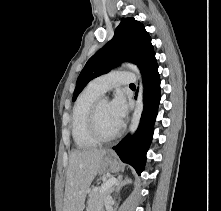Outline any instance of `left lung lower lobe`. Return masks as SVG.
Listing matches in <instances>:
<instances>
[{"instance_id": "1", "label": "left lung lower lobe", "mask_w": 221, "mask_h": 211, "mask_svg": "<svg viewBox=\"0 0 221 211\" xmlns=\"http://www.w3.org/2000/svg\"><path fill=\"white\" fill-rule=\"evenodd\" d=\"M141 72L144 84V108L139 128L132 137L126 136L113 148L120 159L133 166L138 174H141L144 169L146 152L152 140L153 126L161 97L160 77L155 55L148 60Z\"/></svg>"}]
</instances>
